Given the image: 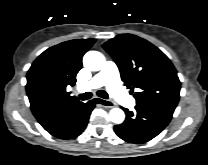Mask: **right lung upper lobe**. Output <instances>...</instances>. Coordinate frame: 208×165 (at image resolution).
<instances>
[{
  "label": "right lung upper lobe",
  "instance_id": "cb5924a9",
  "mask_svg": "<svg viewBox=\"0 0 208 165\" xmlns=\"http://www.w3.org/2000/svg\"><path fill=\"white\" fill-rule=\"evenodd\" d=\"M95 39H75L45 50L27 73L26 91L31 110L42 127L48 128L83 102L66 91L82 67V57Z\"/></svg>",
  "mask_w": 208,
  "mask_h": 165
}]
</instances>
